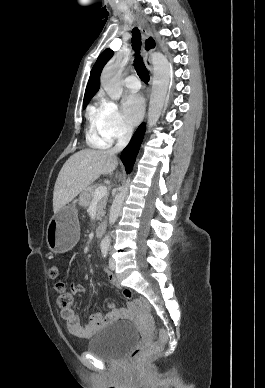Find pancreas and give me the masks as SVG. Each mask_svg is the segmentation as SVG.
<instances>
[{
    "instance_id": "1",
    "label": "pancreas",
    "mask_w": 265,
    "mask_h": 388,
    "mask_svg": "<svg viewBox=\"0 0 265 388\" xmlns=\"http://www.w3.org/2000/svg\"><path fill=\"white\" fill-rule=\"evenodd\" d=\"M99 186H101V184H94V186H87V188H85V190H83V192H81L80 194L79 206H83V208H88V206H90L91 204V200H93L94 192L96 188H99ZM107 200H108L107 196L99 200V204H97V210H96L97 212L96 220H101V218L105 216L106 214L105 208H106Z\"/></svg>"
}]
</instances>
